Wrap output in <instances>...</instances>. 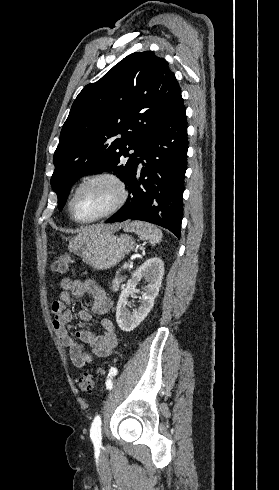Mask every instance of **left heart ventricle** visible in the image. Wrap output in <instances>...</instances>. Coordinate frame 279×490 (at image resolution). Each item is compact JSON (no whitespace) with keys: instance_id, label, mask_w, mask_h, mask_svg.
Returning <instances> with one entry per match:
<instances>
[{"instance_id":"1","label":"left heart ventricle","mask_w":279,"mask_h":490,"mask_svg":"<svg viewBox=\"0 0 279 490\" xmlns=\"http://www.w3.org/2000/svg\"><path fill=\"white\" fill-rule=\"evenodd\" d=\"M115 196L114 187L107 182L87 183L80 189L75 199L74 213L79 219L90 218L109 205Z\"/></svg>"}]
</instances>
